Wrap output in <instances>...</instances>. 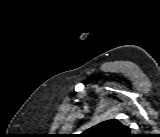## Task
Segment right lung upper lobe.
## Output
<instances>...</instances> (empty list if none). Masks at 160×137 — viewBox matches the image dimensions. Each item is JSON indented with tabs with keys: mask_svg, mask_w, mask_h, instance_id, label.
Instances as JSON below:
<instances>
[{
	"mask_svg": "<svg viewBox=\"0 0 160 137\" xmlns=\"http://www.w3.org/2000/svg\"><path fill=\"white\" fill-rule=\"evenodd\" d=\"M86 137H127L130 135L128 126L112 119L101 122L83 132Z\"/></svg>",
	"mask_w": 160,
	"mask_h": 137,
	"instance_id": "obj_1",
	"label": "right lung upper lobe"
}]
</instances>
